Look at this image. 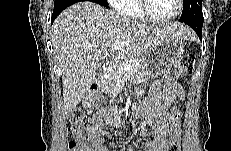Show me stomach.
Masks as SVG:
<instances>
[{
	"mask_svg": "<svg viewBox=\"0 0 231 151\" xmlns=\"http://www.w3.org/2000/svg\"><path fill=\"white\" fill-rule=\"evenodd\" d=\"M185 44L180 38L168 37L160 40L143 54L141 61L147 74L144 80L155 78L168 72L184 53ZM144 90L136 88V95L142 96Z\"/></svg>",
	"mask_w": 231,
	"mask_h": 151,
	"instance_id": "obj_1",
	"label": "stomach"
}]
</instances>
